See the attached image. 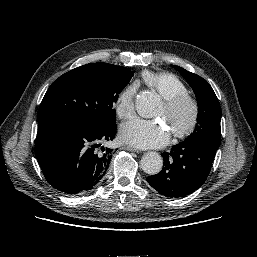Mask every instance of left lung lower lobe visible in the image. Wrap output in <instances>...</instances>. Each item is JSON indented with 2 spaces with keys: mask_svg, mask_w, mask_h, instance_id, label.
<instances>
[{
  "mask_svg": "<svg viewBox=\"0 0 257 257\" xmlns=\"http://www.w3.org/2000/svg\"><path fill=\"white\" fill-rule=\"evenodd\" d=\"M218 147L206 140H185L161 154L163 169L147 182L166 197H185L206 181Z\"/></svg>",
  "mask_w": 257,
  "mask_h": 257,
  "instance_id": "obj_1",
  "label": "left lung lower lobe"
}]
</instances>
